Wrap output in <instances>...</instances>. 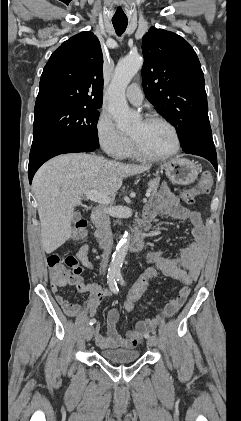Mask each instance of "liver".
<instances>
[{
	"mask_svg": "<svg viewBox=\"0 0 241 421\" xmlns=\"http://www.w3.org/2000/svg\"><path fill=\"white\" fill-rule=\"evenodd\" d=\"M150 165L125 164L86 154H66L46 162L35 174L32 189L38 203L42 247L50 254L69 238L74 209L89 190L111 196L123 178Z\"/></svg>",
	"mask_w": 241,
	"mask_h": 421,
	"instance_id": "1",
	"label": "liver"
}]
</instances>
